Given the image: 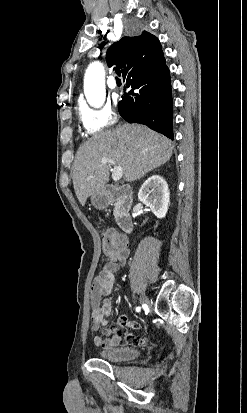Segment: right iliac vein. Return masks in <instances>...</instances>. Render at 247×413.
<instances>
[{"label":"right iliac vein","instance_id":"63e3f726","mask_svg":"<svg viewBox=\"0 0 247 413\" xmlns=\"http://www.w3.org/2000/svg\"><path fill=\"white\" fill-rule=\"evenodd\" d=\"M139 301L141 304H144V305H148L150 303L149 299L145 295L140 296Z\"/></svg>","mask_w":247,"mask_h":413}]
</instances>
